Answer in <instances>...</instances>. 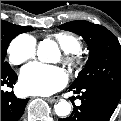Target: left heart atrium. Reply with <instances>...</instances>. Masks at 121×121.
<instances>
[{
	"instance_id": "left-heart-atrium-1",
	"label": "left heart atrium",
	"mask_w": 121,
	"mask_h": 121,
	"mask_svg": "<svg viewBox=\"0 0 121 121\" xmlns=\"http://www.w3.org/2000/svg\"><path fill=\"white\" fill-rule=\"evenodd\" d=\"M66 72L58 66L32 63L21 72V89L27 94L50 95L67 84Z\"/></svg>"
}]
</instances>
